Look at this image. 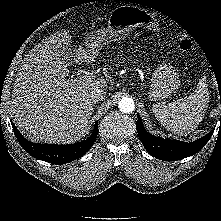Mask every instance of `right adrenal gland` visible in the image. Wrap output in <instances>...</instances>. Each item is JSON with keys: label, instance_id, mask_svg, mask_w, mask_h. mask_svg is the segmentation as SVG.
I'll return each mask as SVG.
<instances>
[{"label": "right adrenal gland", "instance_id": "right-adrenal-gland-1", "mask_svg": "<svg viewBox=\"0 0 221 221\" xmlns=\"http://www.w3.org/2000/svg\"><path fill=\"white\" fill-rule=\"evenodd\" d=\"M95 105H96V103H92V108H91L92 112L95 109Z\"/></svg>", "mask_w": 221, "mask_h": 221}]
</instances>
